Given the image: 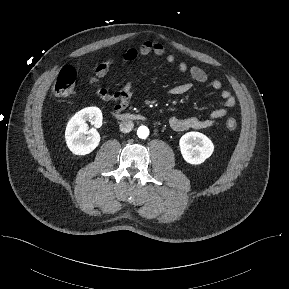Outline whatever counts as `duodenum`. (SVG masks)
I'll use <instances>...</instances> for the list:
<instances>
[{
  "label": "duodenum",
  "mask_w": 289,
  "mask_h": 289,
  "mask_svg": "<svg viewBox=\"0 0 289 289\" xmlns=\"http://www.w3.org/2000/svg\"><path fill=\"white\" fill-rule=\"evenodd\" d=\"M114 115L122 120H134V119H141L142 117L135 114H127V113H120L118 111L114 112Z\"/></svg>",
  "instance_id": "1"
}]
</instances>
